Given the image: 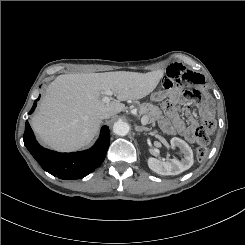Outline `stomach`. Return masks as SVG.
Here are the masks:
<instances>
[{"label":"stomach","mask_w":245,"mask_h":245,"mask_svg":"<svg viewBox=\"0 0 245 245\" xmlns=\"http://www.w3.org/2000/svg\"><path fill=\"white\" fill-rule=\"evenodd\" d=\"M165 96L166 95L164 91L159 90L157 92L152 93L150 99L153 102H160L165 98Z\"/></svg>","instance_id":"1"}]
</instances>
